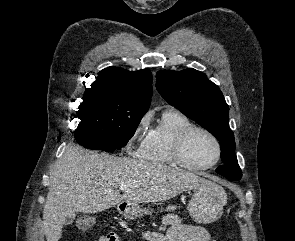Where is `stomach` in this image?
<instances>
[{
  "label": "stomach",
  "instance_id": "stomach-1",
  "mask_svg": "<svg viewBox=\"0 0 295 241\" xmlns=\"http://www.w3.org/2000/svg\"><path fill=\"white\" fill-rule=\"evenodd\" d=\"M226 202L225 190L215 182L209 181L193 189L187 210L196 223L209 224L221 217ZM117 208L128 219L140 218L148 212L138 204H127L125 202L118 204Z\"/></svg>",
  "mask_w": 295,
  "mask_h": 241
}]
</instances>
